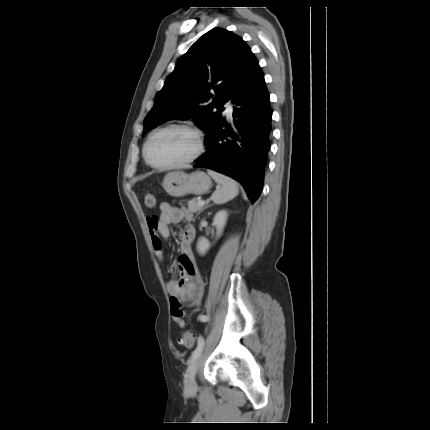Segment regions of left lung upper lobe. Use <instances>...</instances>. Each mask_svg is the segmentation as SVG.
I'll return each instance as SVG.
<instances>
[{
    "label": "left lung upper lobe",
    "mask_w": 430,
    "mask_h": 430,
    "mask_svg": "<svg viewBox=\"0 0 430 430\" xmlns=\"http://www.w3.org/2000/svg\"><path fill=\"white\" fill-rule=\"evenodd\" d=\"M257 68L258 60L242 38L225 29L210 30L180 57L156 94L144 120L143 135L177 117H193L208 133L221 117L223 105L244 91Z\"/></svg>",
    "instance_id": "left-lung-upper-lobe-1"
}]
</instances>
